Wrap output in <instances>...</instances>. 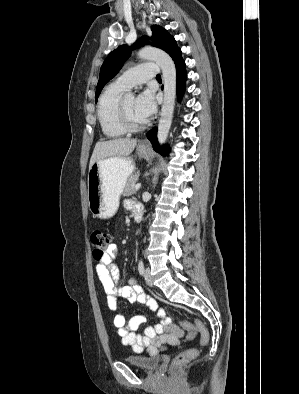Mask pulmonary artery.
I'll return each instance as SVG.
<instances>
[{"instance_id": "e3ab8cb5", "label": "pulmonary artery", "mask_w": 299, "mask_h": 394, "mask_svg": "<svg viewBox=\"0 0 299 394\" xmlns=\"http://www.w3.org/2000/svg\"><path fill=\"white\" fill-rule=\"evenodd\" d=\"M158 73L159 68L157 64L144 63L124 72L117 78L116 83L125 90H129L136 85L156 77Z\"/></svg>"}]
</instances>
